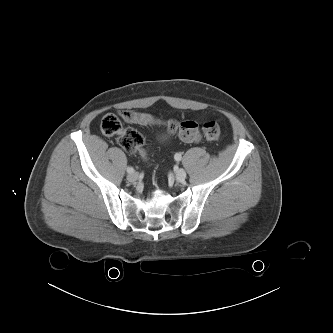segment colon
I'll use <instances>...</instances> for the list:
<instances>
[{
	"mask_svg": "<svg viewBox=\"0 0 333 333\" xmlns=\"http://www.w3.org/2000/svg\"><path fill=\"white\" fill-rule=\"evenodd\" d=\"M121 117L129 123L136 124H156L157 121L147 114L136 113L132 111L121 112ZM101 131L106 136H117L119 145L131 154L138 153L145 157L143 149L144 137L136 129L128 127L123 128L120 118L113 113L106 114L101 120ZM168 131L177 134L186 142H198L201 139L216 140L219 138L221 129L216 121H208L200 129L194 121L178 122L170 120L166 123Z\"/></svg>",
	"mask_w": 333,
	"mask_h": 333,
	"instance_id": "1",
	"label": "colon"
}]
</instances>
